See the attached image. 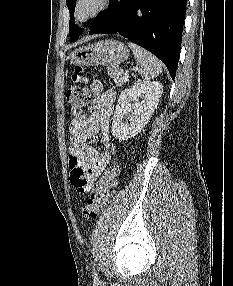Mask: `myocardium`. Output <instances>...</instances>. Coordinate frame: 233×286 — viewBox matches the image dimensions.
I'll return each instance as SVG.
<instances>
[{
	"label": "myocardium",
	"mask_w": 233,
	"mask_h": 286,
	"mask_svg": "<svg viewBox=\"0 0 233 286\" xmlns=\"http://www.w3.org/2000/svg\"><path fill=\"white\" fill-rule=\"evenodd\" d=\"M86 0H76L74 9H73V18L76 23H86L94 18H96L98 15H100L103 11H105L111 3V0H97V6L96 8L88 15L81 17L79 14V10L81 5L85 2Z\"/></svg>",
	"instance_id": "obj_1"
}]
</instances>
